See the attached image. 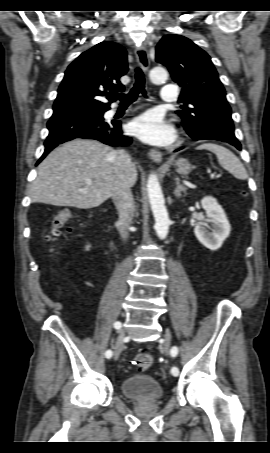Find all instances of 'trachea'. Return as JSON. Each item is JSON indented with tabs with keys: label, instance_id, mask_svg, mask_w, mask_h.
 Masks as SVG:
<instances>
[{
	"label": "trachea",
	"instance_id": "trachea-1",
	"mask_svg": "<svg viewBox=\"0 0 270 453\" xmlns=\"http://www.w3.org/2000/svg\"><path fill=\"white\" fill-rule=\"evenodd\" d=\"M139 94L146 96L145 91V77L140 68L135 69V83L127 94H119L118 98L122 105H129L133 103Z\"/></svg>",
	"mask_w": 270,
	"mask_h": 453
}]
</instances>
